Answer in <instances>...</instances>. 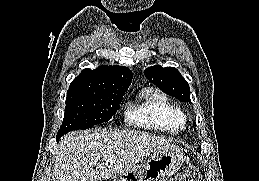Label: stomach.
<instances>
[{"instance_id": "stomach-1", "label": "stomach", "mask_w": 259, "mask_h": 181, "mask_svg": "<svg viewBox=\"0 0 259 181\" xmlns=\"http://www.w3.org/2000/svg\"><path fill=\"white\" fill-rule=\"evenodd\" d=\"M183 160L182 151L172 145L118 174L113 181H167L177 172Z\"/></svg>"}]
</instances>
